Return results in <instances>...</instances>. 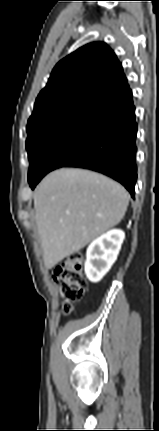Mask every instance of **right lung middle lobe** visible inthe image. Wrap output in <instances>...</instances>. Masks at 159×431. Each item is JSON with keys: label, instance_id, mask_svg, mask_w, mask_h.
I'll return each instance as SVG.
<instances>
[{"label": "right lung middle lobe", "instance_id": "obj_1", "mask_svg": "<svg viewBox=\"0 0 159 431\" xmlns=\"http://www.w3.org/2000/svg\"><path fill=\"white\" fill-rule=\"evenodd\" d=\"M86 119L84 116L56 113L27 124L26 149L29 158L28 180L36 178L51 148L71 129Z\"/></svg>", "mask_w": 159, "mask_h": 431}]
</instances>
